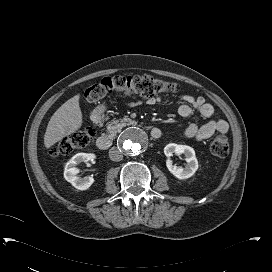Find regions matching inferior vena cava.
I'll list each match as a JSON object with an SVG mask.
<instances>
[{"instance_id":"obj_1","label":"inferior vena cava","mask_w":272,"mask_h":272,"mask_svg":"<svg viewBox=\"0 0 272 272\" xmlns=\"http://www.w3.org/2000/svg\"><path fill=\"white\" fill-rule=\"evenodd\" d=\"M109 157L112 161H116V162L121 161L123 159V155L121 151L116 147H112L109 150Z\"/></svg>"}]
</instances>
